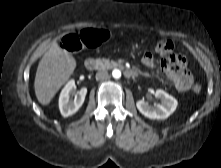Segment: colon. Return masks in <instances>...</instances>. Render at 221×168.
<instances>
[{
	"label": "colon",
	"mask_w": 221,
	"mask_h": 168,
	"mask_svg": "<svg viewBox=\"0 0 221 168\" xmlns=\"http://www.w3.org/2000/svg\"><path fill=\"white\" fill-rule=\"evenodd\" d=\"M110 34L104 29H85L79 34H68L61 40V46L69 51H79L83 46L93 47L106 41ZM156 51L165 56L173 53V44L169 40H161L156 45ZM192 90L196 93L201 91L199 84H194Z\"/></svg>",
	"instance_id": "colon-1"
}]
</instances>
